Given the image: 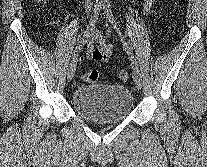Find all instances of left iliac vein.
<instances>
[{"label": "left iliac vein", "instance_id": "1", "mask_svg": "<svg viewBox=\"0 0 207 167\" xmlns=\"http://www.w3.org/2000/svg\"><path fill=\"white\" fill-rule=\"evenodd\" d=\"M133 80H134L136 87L138 89H141L142 77H141V73H140L139 69L136 66L133 68Z\"/></svg>", "mask_w": 207, "mask_h": 167}]
</instances>
